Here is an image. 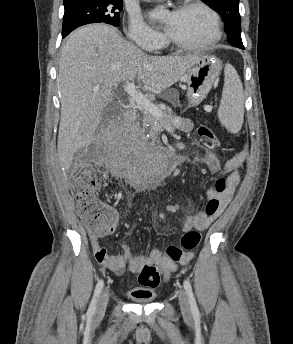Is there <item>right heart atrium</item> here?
<instances>
[{
    "label": "right heart atrium",
    "instance_id": "obj_1",
    "mask_svg": "<svg viewBox=\"0 0 293 344\" xmlns=\"http://www.w3.org/2000/svg\"><path fill=\"white\" fill-rule=\"evenodd\" d=\"M126 34L135 48L144 51H154L162 46L163 35L146 24L136 14H130L127 19Z\"/></svg>",
    "mask_w": 293,
    "mask_h": 344
}]
</instances>
